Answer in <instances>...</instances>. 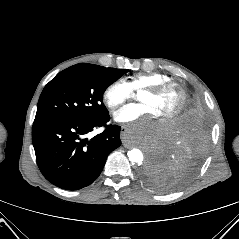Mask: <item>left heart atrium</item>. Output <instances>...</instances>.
<instances>
[{
    "label": "left heart atrium",
    "mask_w": 239,
    "mask_h": 239,
    "mask_svg": "<svg viewBox=\"0 0 239 239\" xmlns=\"http://www.w3.org/2000/svg\"><path fill=\"white\" fill-rule=\"evenodd\" d=\"M156 118L152 109L143 103L130 104L115 114V120L119 123L132 124L138 121L136 126L132 127L133 132L143 133L154 127L153 119Z\"/></svg>",
    "instance_id": "obj_1"
}]
</instances>
